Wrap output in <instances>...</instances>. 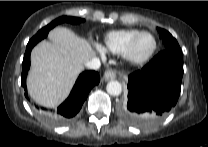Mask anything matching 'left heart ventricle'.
Wrapping results in <instances>:
<instances>
[{
    "label": "left heart ventricle",
    "mask_w": 208,
    "mask_h": 147,
    "mask_svg": "<svg viewBox=\"0 0 208 147\" xmlns=\"http://www.w3.org/2000/svg\"><path fill=\"white\" fill-rule=\"evenodd\" d=\"M154 41L150 35L142 36L136 43L133 54L137 58L146 56L153 48Z\"/></svg>",
    "instance_id": "obj_1"
}]
</instances>
